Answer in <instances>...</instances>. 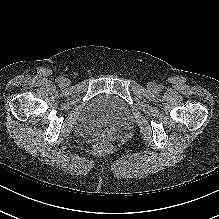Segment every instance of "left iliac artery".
I'll use <instances>...</instances> for the list:
<instances>
[{"label":"left iliac artery","mask_w":219,"mask_h":219,"mask_svg":"<svg viewBox=\"0 0 219 219\" xmlns=\"http://www.w3.org/2000/svg\"><path fill=\"white\" fill-rule=\"evenodd\" d=\"M157 89H158L159 91H162L163 86H162V85H158Z\"/></svg>","instance_id":"44dca946"}]
</instances>
